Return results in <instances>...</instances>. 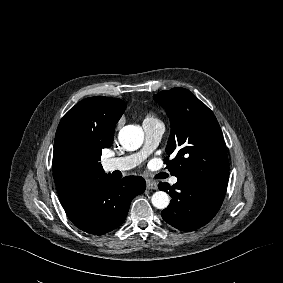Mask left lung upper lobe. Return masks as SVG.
<instances>
[{
  "mask_svg": "<svg viewBox=\"0 0 283 283\" xmlns=\"http://www.w3.org/2000/svg\"><path fill=\"white\" fill-rule=\"evenodd\" d=\"M171 122L164 159L177 178L226 189L228 158L219 123L213 112L189 90L173 88L154 95ZM175 158L169 161V156Z\"/></svg>",
  "mask_w": 283,
  "mask_h": 283,
  "instance_id": "obj_1",
  "label": "left lung upper lobe"
}]
</instances>
